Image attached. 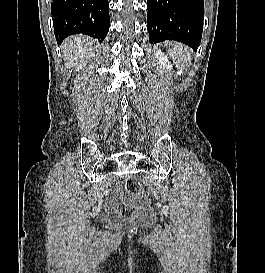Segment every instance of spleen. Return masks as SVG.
<instances>
[{"label":"spleen","mask_w":265,"mask_h":273,"mask_svg":"<svg viewBox=\"0 0 265 273\" xmlns=\"http://www.w3.org/2000/svg\"><path fill=\"white\" fill-rule=\"evenodd\" d=\"M169 53L173 62L180 69H184L190 63L191 55L187 48L181 44H172Z\"/></svg>","instance_id":"spleen-1"}]
</instances>
